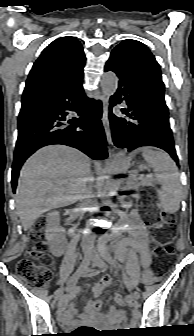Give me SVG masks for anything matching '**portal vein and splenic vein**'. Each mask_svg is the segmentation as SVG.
I'll list each match as a JSON object with an SVG mask.
<instances>
[{"label": "portal vein and splenic vein", "mask_w": 194, "mask_h": 336, "mask_svg": "<svg viewBox=\"0 0 194 336\" xmlns=\"http://www.w3.org/2000/svg\"><path fill=\"white\" fill-rule=\"evenodd\" d=\"M152 175H149V177H151ZM140 177H143V175H140Z\"/></svg>", "instance_id": "obj_1"}]
</instances>
